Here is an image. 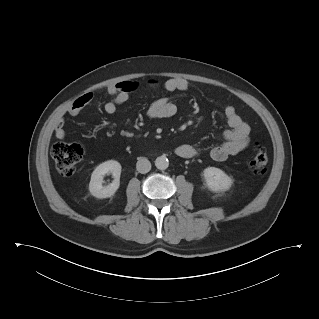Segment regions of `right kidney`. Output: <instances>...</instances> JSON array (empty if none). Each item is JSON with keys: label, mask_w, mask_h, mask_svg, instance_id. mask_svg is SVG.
Here are the masks:
<instances>
[{"label": "right kidney", "mask_w": 319, "mask_h": 319, "mask_svg": "<svg viewBox=\"0 0 319 319\" xmlns=\"http://www.w3.org/2000/svg\"><path fill=\"white\" fill-rule=\"evenodd\" d=\"M121 169V164L115 160H108L98 165L91 175L89 183L90 193L99 199L113 196L120 186ZM106 174H112L114 180L110 185L104 187L102 182Z\"/></svg>", "instance_id": "right-kidney-1"}]
</instances>
